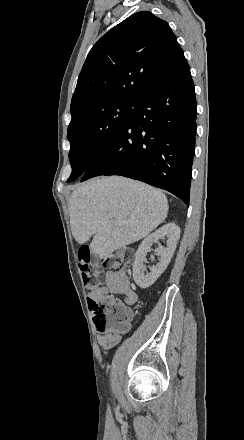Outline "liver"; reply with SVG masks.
I'll use <instances>...</instances> for the list:
<instances>
[{
  "label": "liver",
  "instance_id": "1",
  "mask_svg": "<svg viewBox=\"0 0 244 440\" xmlns=\"http://www.w3.org/2000/svg\"><path fill=\"white\" fill-rule=\"evenodd\" d=\"M168 200L152 186L122 178L99 176L74 190L70 200V226L78 244L94 236L90 250L110 258L114 250L142 240L164 222ZM112 218L127 220L116 226Z\"/></svg>",
  "mask_w": 244,
  "mask_h": 440
}]
</instances>
